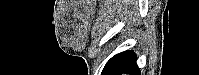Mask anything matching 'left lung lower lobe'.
I'll return each instance as SVG.
<instances>
[{"mask_svg":"<svg viewBox=\"0 0 199 75\" xmlns=\"http://www.w3.org/2000/svg\"><path fill=\"white\" fill-rule=\"evenodd\" d=\"M136 59L137 57L132 51L116 54L107 62L101 75H119L122 73L139 75L140 69Z\"/></svg>","mask_w":199,"mask_h":75,"instance_id":"left-lung-lower-lobe-1","label":"left lung lower lobe"}]
</instances>
